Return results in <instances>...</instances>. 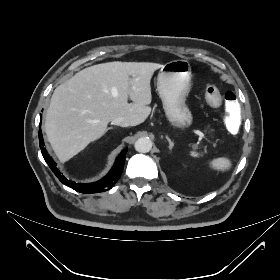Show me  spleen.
Wrapping results in <instances>:
<instances>
[{
  "instance_id": "spleen-1",
  "label": "spleen",
  "mask_w": 280,
  "mask_h": 280,
  "mask_svg": "<svg viewBox=\"0 0 280 280\" xmlns=\"http://www.w3.org/2000/svg\"><path fill=\"white\" fill-rule=\"evenodd\" d=\"M212 168L219 171H228L232 167V162L226 157H220L210 162Z\"/></svg>"
}]
</instances>
